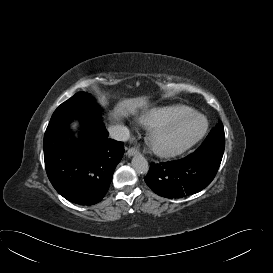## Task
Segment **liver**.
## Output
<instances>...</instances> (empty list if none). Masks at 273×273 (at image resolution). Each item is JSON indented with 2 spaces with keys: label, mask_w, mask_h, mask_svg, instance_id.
<instances>
[{
  "label": "liver",
  "mask_w": 273,
  "mask_h": 273,
  "mask_svg": "<svg viewBox=\"0 0 273 273\" xmlns=\"http://www.w3.org/2000/svg\"><path fill=\"white\" fill-rule=\"evenodd\" d=\"M147 105V100L145 97L139 98H129L120 101L113 111V116L120 117L126 116L128 114H135L137 109L143 108ZM74 127L76 124L73 125Z\"/></svg>",
  "instance_id": "obj_1"
}]
</instances>
